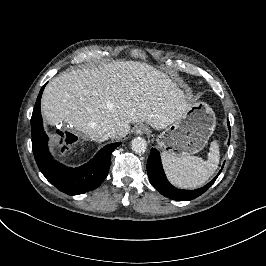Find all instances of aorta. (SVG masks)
I'll return each mask as SVG.
<instances>
[{"instance_id":"1","label":"aorta","mask_w":266,"mask_h":266,"mask_svg":"<svg viewBox=\"0 0 266 266\" xmlns=\"http://www.w3.org/2000/svg\"><path fill=\"white\" fill-rule=\"evenodd\" d=\"M131 147L135 153H144L147 149V142L142 137H136L131 141Z\"/></svg>"}]
</instances>
